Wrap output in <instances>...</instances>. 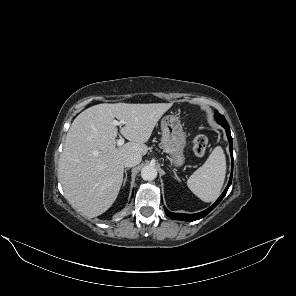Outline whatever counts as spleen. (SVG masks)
I'll use <instances>...</instances> for the list:
<instances>
[{
  "label": "spleen",
  "instance_id": "3e777b00",
  "mask_svg": "<svg viewBox=\"0 0 296 296\" xmlns=\"http://www.w3.org/2000/svg\"><path fill=\"white\" fill-rule=\"evenodd\" d=\"M226 174V157L223 149H213L205 163L187 180L189 189L202 201L212 202L220 195Z\"/></svg>",
  "mask_w": 296,
  "mask_h": 296
}]
</instances>
